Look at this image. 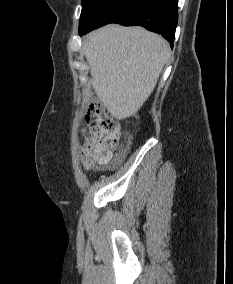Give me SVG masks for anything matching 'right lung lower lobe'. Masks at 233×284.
I'll use <instances>...</instances> for the list:
<instances>
[{
    "instance_id": "obj_1",
    "label": "right lung lower lobe",
    "mask_w": 233,
    "mask_h": 284,
    "mask_svg": "<svg viewBox=\"0 0 233 284\" xmlns=\"http://www.w3.org/2000/svg\"><path fill=\"white\" fill-rule=\"evenodd\" d=\"M178 0H110L80 35L109 23L139 25L157 32L173 46L178 21Z\"/></svg>"
}]
</instances>
